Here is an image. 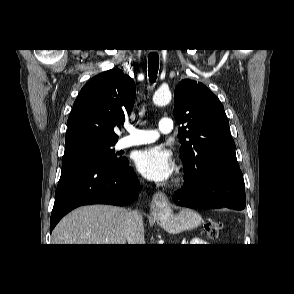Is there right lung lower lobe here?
Instances as JSON below:
<instances>
[{
	"instance_id": "obj_1",
	"label": "right lung lower lobe",
	"mask_w": 294,
	"mask_h": 294,
	"mask_svg": "<svg viewBox=\"0 0 294 294\" xmlns=\"http://www.w3.org/2000/svg\"><path fill=\"white\" fill-rule=\"evenodd\" d=\"M140 190L136 173L128 160L106 163L101 160H79L62 165L50 219V232L68 212L88 204L132 203Z\"/></svg>"
}]
</instances>
